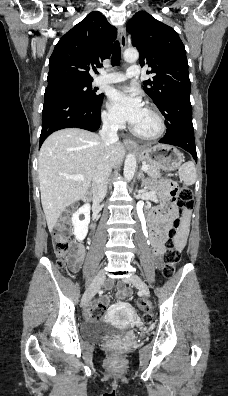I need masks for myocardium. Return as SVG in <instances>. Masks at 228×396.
I'll return each mask as SVG.
<instances>
[{
  "instance_id": "f54148a6",
  "label": "myocardium",
  "mask_w": 228,
  "mask_h": 396,
  "mask_svg": "<svg viewBox=\"0 0 228 396\" xmlns=\"http://www.w3.org/2000/svg\"><path fill=\"white\" fill-rule=\"evenodd\" d=\"M145 109H147L149 112H151L154 115V117L156 118V120L158 122L157 131L155 133H153V134L145 135V134H142V133L138 132L135 129V127L133 126L131 128V132H132V134L135 137H137V138H139L141 140H146V141L157 140V139L161 138L163 136V134L165 133V131H166L165 120H164L162 114L159 112V110L156 107H154L152 105H147L145 107Z\"/></svg>"
}]
</instances>
